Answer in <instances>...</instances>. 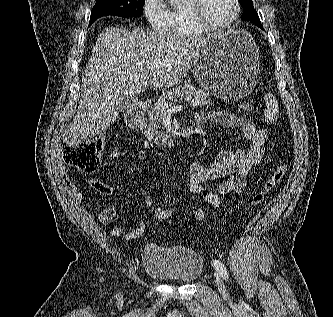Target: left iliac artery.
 <instances>
[{
  "mask_svg": "<svg viewBox=\"0 0 333 317\" xmlns=\"http://www.w3.org/2000/svg\"><path fill=\"white\" fill-rule=\"evenodd\" d=\"M213 265L218 270V272L222 275V277L227 280L228 273H227V270H226V267L224 266V264L221 261L215 259V260H213Z\"/></svg>",
  "mask_w": 333,
  "mask_h": 317,
  "instance_id": "left-iliac-artery-1",
  "label": "left iliac artery"
}]
</instances>
